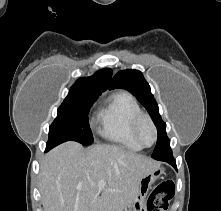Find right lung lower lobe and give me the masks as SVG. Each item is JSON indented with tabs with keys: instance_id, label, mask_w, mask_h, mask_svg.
I'll return each instance as SVG.
<instances>
[{
	"instance_id": "98d812e1",
	"label": "right lung lower lobe",
	"mask_w": 221,
	"mask_h": 211,
	"mask_svg": "<svg viewBox=\"0 0 221 211\" xmlns=\"http://www.w3.org/2000/svg\"><path fill=\"white\" fill-rule=\"evenodd\" d=\"M50 150L48 147H46V151Z\"/></svg>"
}]
</instances>
